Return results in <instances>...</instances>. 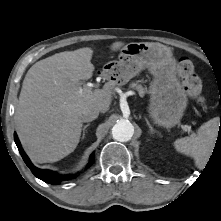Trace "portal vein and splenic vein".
<instances>
[{"mask_svg":"<svg viewBox=\"0 0 221 221\" xmlns=\"http://www.w3.org/2000/svg\"><path fill=\"white\" fill-rule=\"evenodd\" d=\"M86 87H88V88L91 89L92 85H89V84H88ZM185 128H187V126H185Z\"/></svg>","mask_w":221,"mask_h":221,"instance_id":"1","label":"portal vein and splenic vein"}]
</instances>
